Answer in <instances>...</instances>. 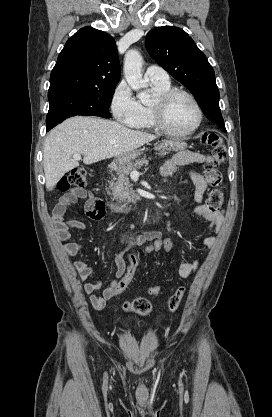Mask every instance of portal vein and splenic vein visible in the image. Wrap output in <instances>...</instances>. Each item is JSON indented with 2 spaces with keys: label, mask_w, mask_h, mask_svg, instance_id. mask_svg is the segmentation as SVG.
<instances>
[{
  "label": "portal vein and splenic vein",
  "mask_w": 272,
  "mask_h": 417,
  "mask_svg": "<svg viewBox=\"0 0 272 417\" xmlns=\"http://www.w3.org/2000/svg\"><path fill=\"white\" fill-rule=\"evenodd\" d=\"M73 159H75V160H80V159H81V155H80V154H74V155H73ZM130 174H131L132 176H135V175H138L139 173H138V171L133 170Z\"/></svg>",
  "instance_id": "obj_1"
}]
</instances>
